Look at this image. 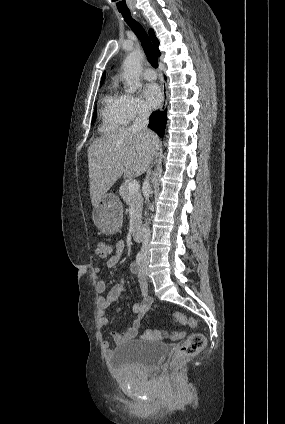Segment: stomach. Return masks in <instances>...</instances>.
<instances>
[{
    "label": "stomach",
    "mask_w": 285,
    "mask_h": 424,
    "mask_svg": "<svg viewBox=\"0 0 285 424\" xmlns=\"http://www.w3.org/2000/svg\"><path fill=\"white\" fill-rule=\"evenodd\" d=\"M92 218L96 227L103 233H116L122 225L123 205L113 193L105 194L94 206Z\"/></svg>",
    "instance_id": "obj_1"
}]
</instances>
